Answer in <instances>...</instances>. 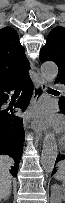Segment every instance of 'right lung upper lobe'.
Segmentation results:
<instances>
[{
  "label": "right lung upper lobe",
  "mask_w": 65,
  "mask_h": 203,
  "mask_svg": "<svg viewBox=\"0 0 65 203\" xmlns=\"http://www.w3.org/2000/svg\"><path fill=\"white\" fill-rule=\"evenodd\" d=\"M29 69L18 33L10 27L0 29V87L28 77Z\"/></svg>",
  "instance_id": "obj_1"
}]
</instances>
